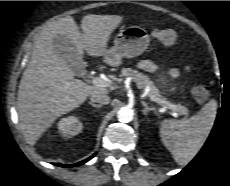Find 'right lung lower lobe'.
I'll return each instance as SVG.
<instances>
[{
    "label": "right lung lower lobe",
    "mask_w": 230,
    "mask_h": 186,
    "mask_svg": "<svg viewBox=\"0 0 230 186\" xmlns=\"http://www.w3.org/2000/svg\"><path fill=\"white\" fill-rule=\"evenodd\" d=\"M94 156H95V154L92 155L91 157H89V158H87V159H85V160H83V161H81V162H79V163L73 164V165H63V164H60V163H57L56 165H57V166H61V167H74V166H79V165H81V164L87 162L88 160H90V159L93 158Z\"/></svg>",
    "instance_id": "1"
}]
</instances>
